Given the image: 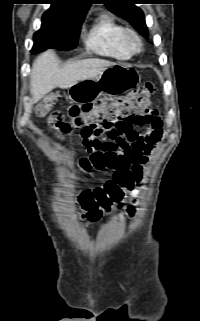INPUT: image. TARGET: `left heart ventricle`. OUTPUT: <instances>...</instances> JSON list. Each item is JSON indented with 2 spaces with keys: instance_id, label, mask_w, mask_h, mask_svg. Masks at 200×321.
<instances>
[{
  "instance_id": "left-heart-ventricle-1",
  "label": "left heart ventricle",
  "mask_w": 200,
  "mask_h": 321,
  "mask_svg": "<svg viewBox=\"0 0 200 321\" xmlns=\"http://www.w3.org/2000/svg\"><path fill=\"white\" fill-rule=\"evenodd\" d=\"M131 44L133 45V46H136V41L135 40H131Z\"/></svg>"
}]
</instances>
